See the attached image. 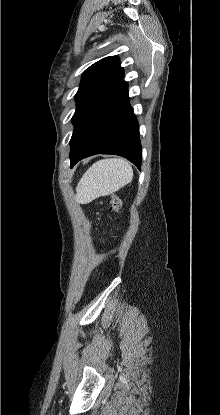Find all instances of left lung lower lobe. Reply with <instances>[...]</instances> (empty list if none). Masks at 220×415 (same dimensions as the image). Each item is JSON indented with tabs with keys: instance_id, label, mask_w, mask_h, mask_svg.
I'll use <instances>...</instances> for the list:
<instances>
[{
	"instance_id": "obj_1",
	"label": "left lung lower lobe",
	"mask_w": 220,
	"mask_h": 415,
	"mask_svg": "<svg viewBox=\"0 0 220 415\" xmlns=\"http://www.w3.org/2000/svg\"><path fill=\"white\" fill-rule=\"evenodd\" d=\"M95 154L119 155L141 169L139 125L122 78L106 87L83 116L71 141V167Z\"/></svg>"
}]
</instances>
